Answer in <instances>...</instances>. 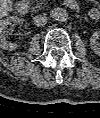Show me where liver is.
<instances>
[{
	"label": "liver",
	"instance_id": "6515ba94",
	"mask_svg": "<svg viewBox=\"0 0 100 118\" xmlns=\"http://www.w3.org/2000/svg\"><path fill=\"white\" fill-rule=\"evenodd\" d=\"M6 4H7L6 2L1 4L2 10H3V8H5L7 6Z\"/></svg>",
	"mask_w": 100,
	"mask_h": 118
}]
</instances>
